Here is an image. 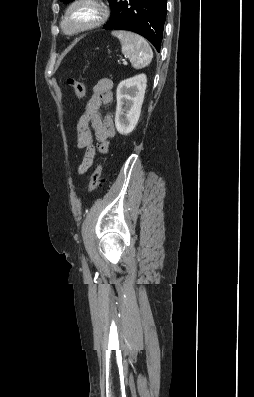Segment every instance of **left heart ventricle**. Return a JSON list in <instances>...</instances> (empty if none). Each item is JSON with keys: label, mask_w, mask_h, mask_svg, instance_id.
<instances>
[{"label": "left heart ventricle", "mask_w": 254, "mask_h": 397, "mask_svg": "<svg viewBox=\"0 0 254 397\" xmlns=\"http://www.w3.org/2000/svg\"><path fill=\"white\" fill-rule=\"evenodd\" d=\"M95 15L96 10L94 8L89 6L80 7L74 12L71 20L69 21V25L86 22L88 20H91Z\"/></svg>", "instance_id": "left-heart-ventricle-1"}]
</instances>
